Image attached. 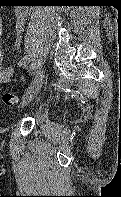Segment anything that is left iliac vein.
Segmentation results:
<instances>
[{
    "label": "left iliac vein",
    "instance_id": "left-iliac-vein-1",
    "mask_svg": "<svg viewBox=\"0 0 121 197\" xmlns=\"http://www.w3.org/2000/svg\"><path fill=\"white\" fill-rule=\"evenodd\" d=\"M44 78L45 72L44 70H40L32 80L27 91L24 93L22 102L20 104L21 107L28 104L39 93L43 85Z\"/></svg>",
    "mask_w": 121,
    "mask_h": 197
}]
</instances>
